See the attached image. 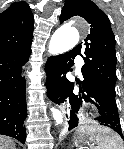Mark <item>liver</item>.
Returning <instances> with one entry per match:
<instances>
[{"label":"liver","mask_w":124,"mask_h":149,"mask_svg":"<svg viewBox=\"0 0 124 149\" xmlns=\"http://www.w3.org/2000/svg\"><path fill=\"white\" fill-rule=\"evenodd\" d=\"M0 149H15V144L11 139L0 135Z\"/></svg>","instance_id":"liver-1"}]
</instances>
